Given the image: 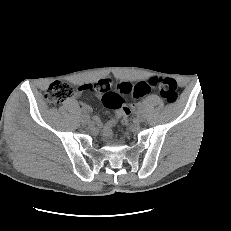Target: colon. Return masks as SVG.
Wrapping results in <instances>:
<instances>
[{
  "mask_svg": "<svg viewBox=\"0 0 231 231\" xmlns=\"http://www.w3.org/2000/svg\"><path fill=\"white\" fill-rule=\"evenodd\" d=\"M151 88L159 90L161 96L168 104H174L179 97L177 82L168 77H151L148 81L121 82L117 83L113 89L110 80H101L89 88L90 92L102 95L103 103L106 107L117 111L116 119H119L123 126L129 123L130 108L123 101V95H130L134 98L142 97ZM73 95L72 87L61 81L50 84L45 92V100L50 106L63 103Z\"/></svg>",
  "mask_w": 231,
  "mask_h": 231,
  "instance_id": "5ec220e1",
  "label": "colon"
}]
</instances>
